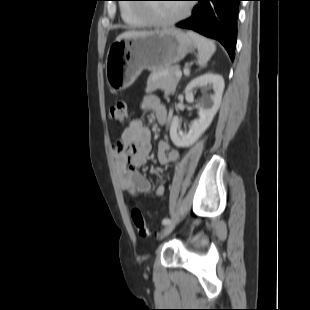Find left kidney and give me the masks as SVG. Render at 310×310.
Wrapping results in <instances>:
<instances>
[{
  "mask_svg": "<svg viewBox=\"0 0 310 310\" xmlns=\"http://www.w3.org/2000/svg\"><path fill=\"white\" fill-rule=\"evenodd\" d=\"M212 85L214 94L204 95L199 103L198 115L199 118L194 120L188 132H183L179 125V118L175 116L172 119L170 126V137L172 142L177 147H188L195 143L199 137L210 126L215 114L217 113L224 91V79L222 76L206 73L192 80L185 89V98L188 102L194 101L193 89L196 87H206Z\"/></svg>",
  "mask_w": 310,
  "mask_h": 310,
  "instance_id": "1",
  "label": "left kidney"
}]
</instances>
